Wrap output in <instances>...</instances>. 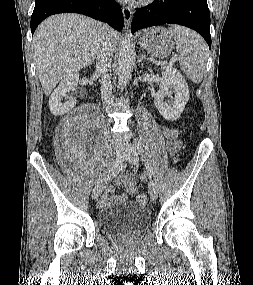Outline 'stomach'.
I'll return each instance as SVG.
<instances>
[{"label":"stomach","mask_w":253,"mask_h":285,"mask_svg":"<svg viewBox=\"0 0 253 285\" xmlns=\"http://www.w3.org/2000/svg\"><path fill=\"white\" fill-rule=\"evenodd\" d=\"M140 46L152 56L163 59L174 49V42L169 31L162 27L145 30L139 38Z\"/></svg>","instance_id":"obj_1"}]
</instances>
